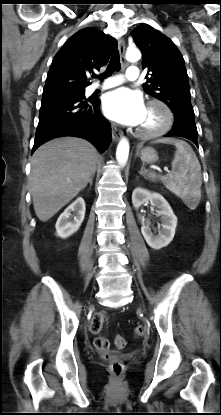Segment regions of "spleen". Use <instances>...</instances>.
<instances>
[{
	"mask_svg": "<svg viewBox=\"0 0 221 415\" xmlns=\"http://www.w3.org/2000/svg\"><path fill=\"white\" fill-rule=\"evenodd\" d=\"M156 142L172 144L176 147L172 161V172L166 176L147 172L146 177L155 182L160 180L174 194L179 196L189 207L195 208L201 198V166L193 149L186 142L164 138ZM144 174V173H143Z\"/></svg>",
	"mask_w": 221,
	"mask_h": 415,
	"instance_id": "1",
	"label": "spleen"
}]
</instances>
